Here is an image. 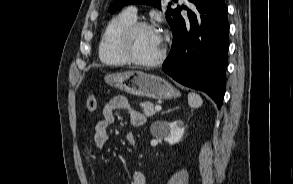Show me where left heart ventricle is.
<instances>
[{"label":"left heart ventricle","mask_w":293,"mask_h":184,"mask_svg":"<svg viewBox=\"0 0 293 184\" xmlns=\"http://www.w3.org/2000/svg\"><path fill=\"white\" fill-rule=\"evenodd\" d=\"M162 49V41L157 32L150 29L139 30L132 41V51L141 60L156 58Z\"/></svg>","instance_id":"left-heart-ventricle-1"}]
</instances>
